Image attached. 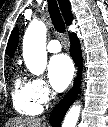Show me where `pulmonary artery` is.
<instances>
[{
	"label": "pulmonary artery",
	"instance_id": "e3ab8cb5",
	"mask_svg": "<svg viewBox=\"0 0 108 127\" xmlns=\"http://www.w3.org/2000/svg\"><path fill=\"white\" fill-rule=\"evenodd\" d=\"M61 44L58 40H51L48 44H47V50L50 53H58L61 51Z\"/></svg>",
	"mask_w": 108,
	"mask_h": 127
}]
</instances>
